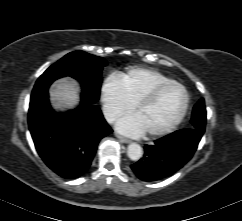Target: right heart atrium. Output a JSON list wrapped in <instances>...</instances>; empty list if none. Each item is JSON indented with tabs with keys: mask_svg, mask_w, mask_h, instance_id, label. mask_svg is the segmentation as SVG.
Masks as SVG:
<instances>
[{
	"mask_svg": "<svg viewBox=\"0 0 242 221\" xmlns=\"http://www.w3.org/2000/svg\"><path fill=\"white\" fill-rule=\"evenodd\" d=\"M101 100L104 116L109 122L115 121L133 108V104L115 78H108L102 84Z\"/></svg>",
	"mask_w": 242,
	"mask_h": 221,
	"instance_id": "d8ad5b80",
	"label": "right heart atrium"
}]
</instances>
